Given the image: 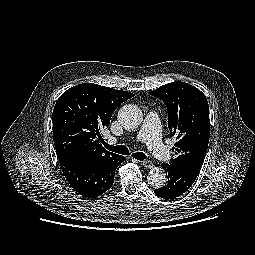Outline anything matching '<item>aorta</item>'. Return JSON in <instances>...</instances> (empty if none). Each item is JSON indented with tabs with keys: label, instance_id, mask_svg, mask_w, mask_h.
Wrapping results in <instances>:
<instances>
[{
	"label": "aorta",
	"instance_id": "obj_1",
	"mask_svg": "<svg viewBox=\"0 0 255 255\" xmlns=\"http://www.w3.org/2000/svg\"><path fill=\"white\" fill-rule=\"evenodd\" d=\"M121 126L126 130L137 128L142 122V111L133 104H127L120 108L117 115ZM167 177L161 167L152 168L147 176V181L153 188H161L166 183Z\"/></svg>",
	"mask_w": 255,
	"mask_h": 255
}]
</instances>
